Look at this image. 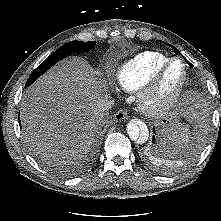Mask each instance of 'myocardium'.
Wrapping results in <instances>:
<instances>
[{"label":"myocardium","instance_id":"myocardium-1","mask_svg":"<svg viewBox=\"0 0 221 221\" xmlns=\"http://www.w3.org/2000/svg\"><path fill=\"white\" fill-rule=\"evenodd\" d=\"M175 63L182 66V79L176 91L167 99L157 100V94L162 82ZM188 82V69L185 62L179 58H172L167 61L152 79L140 90L138 95V107L141 112L148 116H158L170 110L182 96Z\"/></svg>","mask_w":221,"mask_h":221}]
</instances>
